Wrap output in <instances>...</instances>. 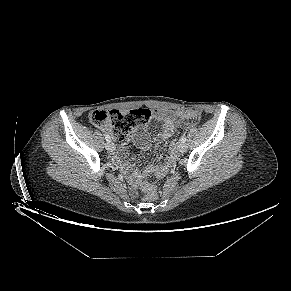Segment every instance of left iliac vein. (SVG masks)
<instances>
[{
  "label": "left iliac vein",
  "instance_id": "1",
  "mask_svg": "<svg viewBox=\"0 0 291 291\" xmlns=\"http://www.w3.org/2000/svg\"><path fill=\"white\" fill-rule=\"evenodd\" d=\"M178 150L180 152H185L187 150V145L185 143H183V142L179 143L178 144Z\"/></svg>",
  "mask_w": 291,
  "mask_h": 291
}]
</instances>
